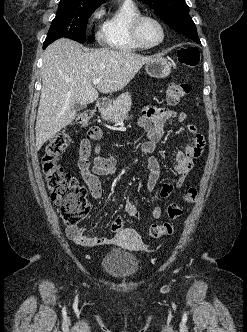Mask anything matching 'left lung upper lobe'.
Listing matches in <instances>:
<instances>
[{
	"mask_svg": "<svg viewBox=\"0 0 247 332\" xmlns=\"http://www.w3.org/2000/svg\"><path fill=\"white\" fill-rule=\"evenodd\" d=\"M150 6L176 32L200 43L185 0H140Z\"/></svg>",
	"mask_w": 247,
	"mask_h": 332,
	"instance_id": "1",
	"label": "left lung upper lobe"
}]
</instances>
